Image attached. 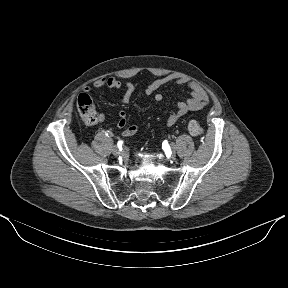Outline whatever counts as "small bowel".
I'll list each match as a JSON object with an SVG mask.
<instances>
[{"mask_svg": "<svg viewBox=\"0 0 288 288\" xmlns=\"http://www.w3.org/2000/svg\"><path fill=\"white\" fill-rule=\"evenodd\" d=\"M175 83L181 86H185L189 89L190 96L178 102L177 109L175 111L169 112L166 124L167 126H173L178 122V120L186 115L190 111H197L204 108L208 102L209 97L206 91L195 81L188 79L185 76L178 74H169L164 77L158 78L151 82L146 90V95H154V99L159 102L163 99L162 94L156 93V91L164 85ZM94 87L96 89H101L104 87L111 89L124 88V93L119 99L121 104H128L131 100L135 87L132 82L125 81L121 82L113 77H105L98 79L94 82ZM85 92L89 93L91 91L90 87H86ZM104 119L103 115H100V121ZM128 117L127 113L123 110L118 112L117 126L122 130V135L125 137H130L135 135L139 131L138 125H127Z\"/></svg>", "mask_w": 288, "mask_h": 288, "instance_id": "obj_1", "label": "small bowel"}]
</instances>
